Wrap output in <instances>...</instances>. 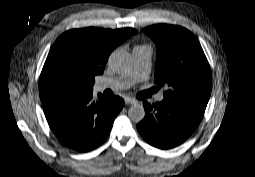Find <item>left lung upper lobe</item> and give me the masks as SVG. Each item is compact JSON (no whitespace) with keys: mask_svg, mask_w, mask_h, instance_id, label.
<instances>
[{"mask_svg":"<svg viewBox=\"0 0 255 177\" xmlns=\"http://www.w3.org/2000/svg\"><path fill=\"white\" fill-rule=\"evenodd\" d=\"M143 31L156 44L154 81L169 87L164 98L208 103L211 70L196 37L185 28L167 24L149 26Z\"/></svg>","mask_w":255,"mask_h":177,"instance_id":"left-lung-upper-lobe-1","label":"left lung upper lobe"}]
</instances>
